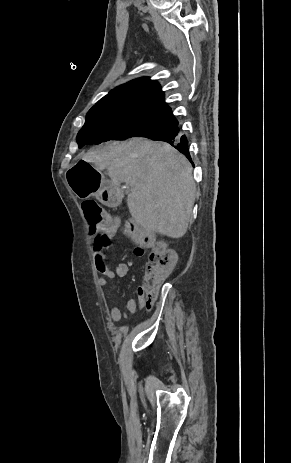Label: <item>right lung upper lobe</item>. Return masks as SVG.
Returning <instances> with one entry per match:
<instances>
[{
    "label": "right lung upper lobe",
    "mask_w": 291,
    "mask_h": 463,
    "mask_svg": "<svg viewBox=\"0 0 291 463\" xmlns=\"http://www.w3.org/2000/svg\"><path fill=\"white\" fill-rule=\"evenodd\" d=\"M91 109L110 113L139 114L170 120L171 109L164 102V93L155 80L138 78L111 90Z\"/></svg>",
    "instance_id": "obj_1"
}]
</instances>
